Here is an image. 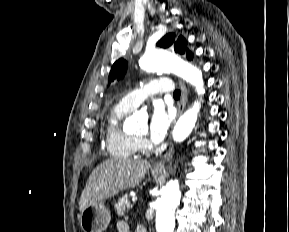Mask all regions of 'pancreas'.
<instances>
[{"instance_id":"pancreas-1","label":"pancreas","mask_w":289,"mask_h":232,"mask_svg":"<svg viewBox=\"0 0 289 232\" xmlns=\"http://www.w3.org/2000/svg\"><path fill=\"white\" fill-rule=\"evenodd\" d=\"M132 207L133 205L130 203L128 195H124L120 198L115 205V209L119 216H123L125 212H128Z\"/></svg>"}]
</instances>
